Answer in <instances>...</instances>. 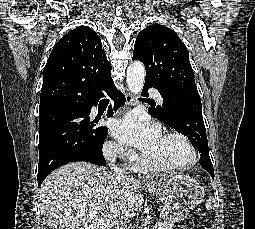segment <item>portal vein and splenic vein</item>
<instances>
[{"label": "portal vein and splenic vein", "instance_id": "obj_1", "mask_svg": "<svg viewBox=\"0 0 255 229\" xmlns=\"http://www.w3.org/2000/svg\"><path fill=\"white\" fill-rule=\"evenodd\" d=\"M155 226H157V227H158V226H161V223H160V222H158V223H156V225H155Z\"/></svg>", "mask_w": 255, "mask_h": 229}]
</instances>
